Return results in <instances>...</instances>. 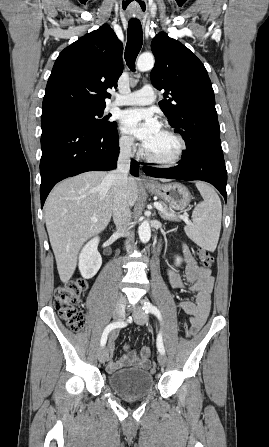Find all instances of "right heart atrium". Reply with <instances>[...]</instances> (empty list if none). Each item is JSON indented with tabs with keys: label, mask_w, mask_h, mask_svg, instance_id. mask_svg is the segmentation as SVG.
Masks as SVG:
<instances>
[{
	"label": "right heart atrium",
	"mask_w": 269,
	"mask_h": 447,
	"mask_svg": "<svg viewBox=\"0 0 269 447\" xmlns=\"http://www.w3.org/2000/svg\"><path fill=\"white\" fill-rule=\"evenodd\" d=\"M119 145L121 149L126 153H135L138 150V145L130 136L127 135L120 136Z\"/></svg>",
	"instance_id": "1"
}]
</instances>
